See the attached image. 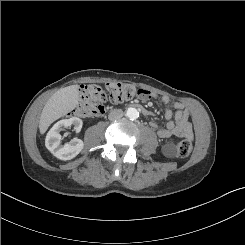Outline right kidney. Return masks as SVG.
<instances>
[{"mask_svg":"<svg viewBox=\"0 0 245 245\" xmlns=\"http://www.w3.org/2000/svg\"><path fill=\"white\" fill-rule=\"evenodd\" d=\"M82 124V120L77 117L58 121L47 133L45 139L46 148L60 160L66 161L73 159L81 152L84 147V143L81 139L74 138L70 142L61 145L60 131L64 128L74 126V130L76 132H80Z\"/></svg>","mask_w":245,"mask_h":245,"instance_id":"1","label":"right kidney"}]
</instances>
